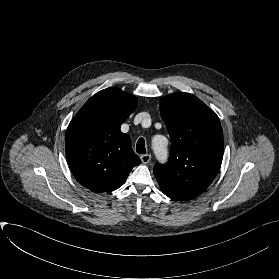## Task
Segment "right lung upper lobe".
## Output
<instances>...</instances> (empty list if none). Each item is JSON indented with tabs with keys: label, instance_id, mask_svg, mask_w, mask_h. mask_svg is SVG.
Wrapping results in <instances>:
<instances>
[{
	"label": "right lung upper lobe",
	"instance_id": "cb5924a9",
	"mask_svg": "<svg viewBox=\"0 0 279 279\" xmlns=\"http://www.w3.org/2000/svg\"><path fill=\"white\" fill-rule=\"evenodd\" d=\"M137 107L135 96L108 88L92 96L70 122L65 149L78 182L94 191L118 189L140 158L133 152L121 124Z\"/></svg>",
	"mask_w": 279,
	"mask_h": 279
}]
</instances>
